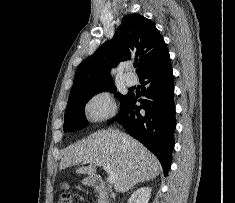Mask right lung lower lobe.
I'll use <instances>...</instances> for the list:
<instances>
[{"mask_svg": "<svg viewBox=\"0 0 235 203\" xmlns=\"http://www.w3.org/2000/svg\"><path fill=\"white\" fill-rule=\"evenodd\" d=\"M147 88L137 106V97L128 93L120 112L108 124L119 122L135 139L147 147L160 161L164 175L171 166L174 147L175 103L173 71L170 58L147 69L139 77Z\"/></svg>", "mask_w": 235, "mask_h": 203, "instance_id": "1", "label": "right lung lower lobe"}]
</instances>
